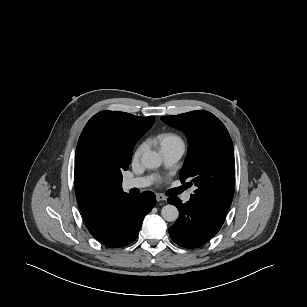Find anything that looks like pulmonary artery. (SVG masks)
<instances>
[{"instance_id":"pulmonary-artery-1","label":"pulmonary artery","mask_w":307,"mask_h":307,"mask_svg":"<svg viewBox=\"0 0 307 307\" xmlns=\"http://www.w3.org/2000/svg\"><path fill=\"white\" fill-rule=\"evenodd\" d=\"M185 146L183 143L171 144L161 148V154L166 167L173 166L184 154ZM153 177L143 176L126 179L123 182L124 189L132 188H145L153 183ZM191 197V192H187L183 195L184 202H188Z\"/></svg>"}]
</instances>
